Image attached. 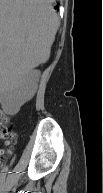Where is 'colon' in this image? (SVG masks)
I'll return each instance as SVG.
<instances>
[{"label": "colon", "mask_w": 103, "mask_h": 193, "mask_svg": "<svg viewBox=\"0 0 103 193\" xmlns=\"http://www.w3.org/2000/svg\"><path fill=\"white\" fill-rule=\"evenodd\" d=\"M1 136L3 138H6L7 140H11L12 138V131L6 127V126H2L1 128Z\"/></svg>", "instance_id": "1"}]
</instances>
